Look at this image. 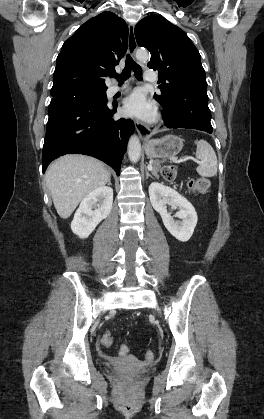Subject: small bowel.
I'll use <instances>...</instances> for the list:
<instances>
[{"label":"small bowel","mask_w":264,"mask_h":419,"mask_svg":"<svg viewBox=\"0 0 264 419\" xmlns=\"http://www.w3.org/2000/svg\"><path fill=\"white\" fill-rule=\"evenodd\" d=\"M126 348V346L125 345H121L119 348H118V355L120 356V357H124V356H126L127 355V352H124V349Z\"/></svg>","instance_id":"small-bowel-1"}]
</instances>
